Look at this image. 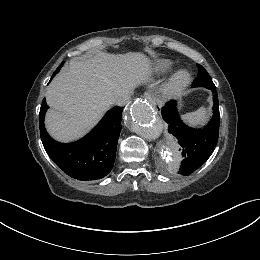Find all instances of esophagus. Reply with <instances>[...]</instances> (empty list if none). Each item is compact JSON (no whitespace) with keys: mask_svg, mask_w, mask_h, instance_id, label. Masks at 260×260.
<instances>
[{"mask_svg":"<svg viewBox=\"0 0 260 260\" xmlns=\"http://www.w3.org/2000/svg\"><path fill=\"white\" fill-rule=\"evenodd\" d=\"M144 98H146V99H151V94L150 93H145L144 94Z\"/></svg>","mask_w":260,"mask_h":260,"instance_id":"esophagus-1","label":"esophagus"}]
</instances>
